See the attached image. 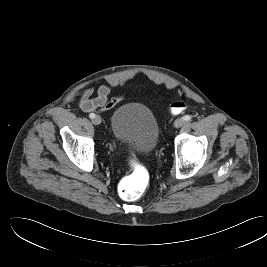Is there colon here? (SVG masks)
Here are the masks:
<instances>
[{"label":"colon","instance_id":"obj_1","mask_svg":"<svg viewBox=\"0 0 267 267\" xmlns=\"http://www.w3.org/2000/svg\"><path fill=\"white\" fill-rule=\"evenodd\" d=\"M186 107L183 101H176L171 105L174 114L182 112ZM149 181L147 170L140 164L133 163L132 171L120 183L119 193L125 200H136L144 193Z\"/></svg>","mask_w":267,"mask_h":267}]
</instances>
